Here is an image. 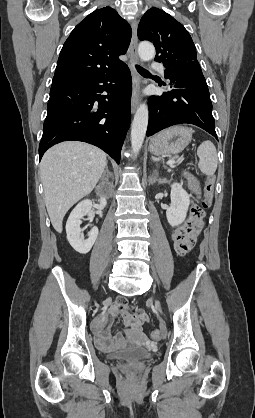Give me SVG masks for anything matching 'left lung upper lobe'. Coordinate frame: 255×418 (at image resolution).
I'll return each mask as SVG.
<instances>
[{
    "instance_id": "1",
    "label": "left lung upper lobe",
    "mask_w": 255,
    "mask_h": 418,
    "mask_svg": "<svg viewBox=\"0 0 255 418\" xmlns=\"http://www.w3.org/2000/svg\"><path fill=\"white\" fill-rule=\"evenodd\" d=\"M138 37L153 42L155 61L165 69L198 64L193 40L182 24L168 13L152 7L141 18Z\"/></svg>"
}]
</instances>
